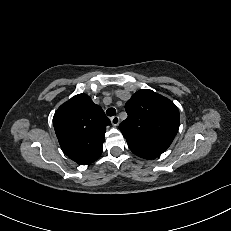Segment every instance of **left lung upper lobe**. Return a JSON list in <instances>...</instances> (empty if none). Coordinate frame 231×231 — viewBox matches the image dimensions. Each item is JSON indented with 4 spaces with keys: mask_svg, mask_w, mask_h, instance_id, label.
Masks as SVG:
<instances>
[{
    "mask_svg": "<svg viewBox=\"0 0 231 231\" xmlns=\"http://www.w3.org/2000/svg\"><path fill=\"white\" fill-rule=\"evenodd\" d=\"M126 120L120 125L130 150L137 156L153 159L172 143L180 122L176 105L152 90H140L127 101Z\"/></svg>",
    "mask_w": 231,
    "mask_h": 231,
    "instance_id": "obj_1",
    "label": "left lung upper lobe"
}]
</instances>
